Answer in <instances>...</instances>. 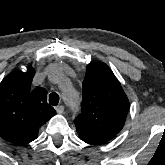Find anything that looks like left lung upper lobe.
I'll return each instance as SVG.
<instances>
[{"label":"left lung upper lobe","mask_w":165,"mask_h":165,"mask_svg":"<svg viewBox=\"0 0 165 165\" xmlns=\"http://www.w3.org/2000/svg\"><path fill=\"white\" fill-rule=\"evenodd\" d=\"M129 101L112 70L90 63L83 81L82 112L74 123L79 135L105 143L123 128Z\"/></svg>","instance_id":"1"}]
</instances>
